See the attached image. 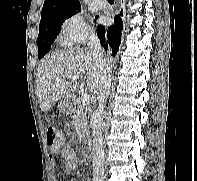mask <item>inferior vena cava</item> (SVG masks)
<instances>
[{"mask_svg": "<svg viewBox=\"0 0 197 181\" xmlns=\"http://www.w3.org/2000/svg\"><path fill=\"white\" fill-rule=\"evenodd\" d=\"M89 48L93 59L96 62L99 71V87L97 91L98 108L94 111L91 117V128L93 136V181H104V151L102 137V122L104 104L110 94L112 81L111 67L103 57V49L96 34H91L89 37Z\"/></svg>", "mask_w": 197, "mask_h": 181, "instance_id": "inferior-vena-cava-1", "label": "inferior vena cava"}]
</instances>
